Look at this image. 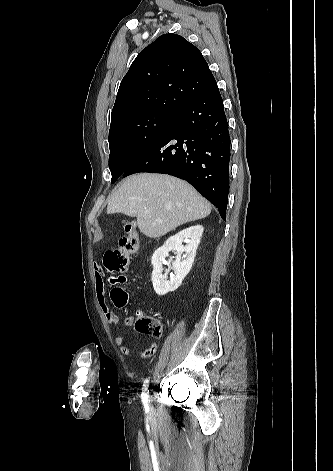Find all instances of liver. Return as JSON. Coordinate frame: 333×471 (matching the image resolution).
Here are the masks:
<instances>
[{
  "instance_id": "6515ba94",
  "label": "liver",
  "mask_w": 333,
  "mask_h": 471,
  "mask_svg": "<svg viewBox=\"0 0 333 471\" xmlns=\"http://www.w3.org/2000/svg\"><path fill=\"white\" fill-rule=\"evenodd\" d=\"M107 213L136 217L141 233L158 238L182 224L207 217L211 206L184 180L139 173L125 179L110 195Z\"/></svg>"
}]
</instances>
